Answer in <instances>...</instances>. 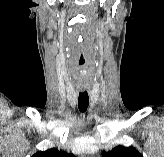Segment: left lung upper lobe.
Segmentation results:
<instances>
[{"label":"left lung upper lobe","instance_id":"left-lung-upper-lobe-1","mask_svg":"<svg viewBox=\"0 0 164 157\" xmlns=\"http://www.w3.org/2000/svg\"><path fill=\"white\" fill-rule=\"evenodd\" d=\"M102 157H143V155L133 147L117 146L111 151L102 152Z\"/></svg>","mask_w":164,"mask_h":157}]
</instances>
